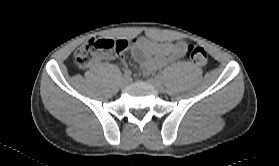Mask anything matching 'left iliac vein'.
Returning <instances> with one entry per match:
<instances>
[{
    "label": "left iliac vein",
    "mask_w": 279,
    "mask_h": 166,
    "mask_svg": "<svg viewBox=\"0 0 279 166\" xmlns=\"http://www.w3.org/2000/svg\"><path fill=\"white\" fill-rule=\"evenodd\" d=\"M149 82L157 89V91H159V92L164 91V86H163L161 79L155 77V78H151L149 80Z\"/></svg>",
    "instance_id": "4c4485c4"
}]
</instances>
